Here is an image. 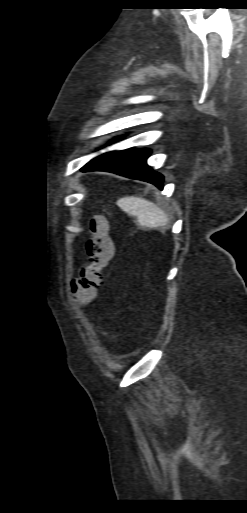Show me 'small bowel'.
<instances>
[{"label":"small bowel","mask_w":247,"mask_h":513,"mask_svg":"<svg viewBox=\"0 0 247 513\" xmlns=\"http://www.w3.org/2000/svg\"><path fill=\"white\" fill-rule=\"evenodd\" d=\"M92 299H93V298H92ZM92 299H90V300H92ZM90 300H87L86 302H88V301H90Z\"/></svg>","instance_id":"small-bowel-1"}]
</instances>
